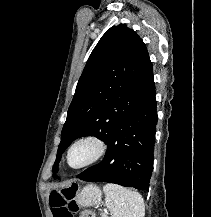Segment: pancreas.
I'll list each match as a JSON object with an SVG mask.
<instances>
[{"label": "pancreas", "instance_id": "1", "mask_svg": "<svg viewBox=\"0 0 211 217\" xmlns=\"http://www.w3.org/2000/svg\"><path fill=\"white\" fill-rule=\"evenodd\" d=\"M101 217H107L105 213H101Z\"/></svg>", "mask_w": 211, "mask_h": 217}]
</instances>
